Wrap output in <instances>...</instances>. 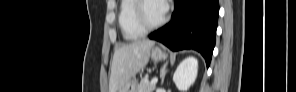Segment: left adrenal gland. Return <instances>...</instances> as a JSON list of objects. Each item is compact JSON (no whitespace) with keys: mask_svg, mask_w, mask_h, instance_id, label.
Returning a JSON list of instances; mask_svg holds the SVG:
<instances>
[{"mask_svg":"<svg viewBox=\"0 0 296 92\" xmlns=\"http://www.w3.org/2000/svg\"><path fill=\"white\" fill-rule=\"evenodd\" d=\"M166 65H164V67L162 68V71H161V85H163L164 83V78H165V75H166Z\"/></svg>","mask_w":296,"mask_h":92,"instance_id":"obj_1","label":"left adrenal gland"}]
</instances>
